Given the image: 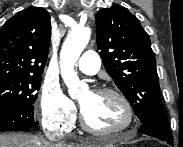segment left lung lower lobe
Returning a JSON list of instances; mask_svg holds the SVG:
<instances>
[{
	"mask_svg": "<svg viewBox=\"0 0 183 147\" xmlns=\"http://www.w3.org/2000/svg\"><path fill=\"white\" fill-rule=\"evenodd\" d=\"M140 131L148 136L156 137L173 145V136L168 123L153 121L142 123Z\"/></svg>",
	"mask_w": 183,
	"mask_h": 147,
	"instance_id": "obj_1",
	"label": "left lung lower lobe"
}]
</instances>
